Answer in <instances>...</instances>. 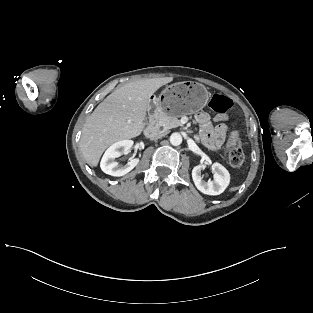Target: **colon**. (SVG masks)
Returning a JSON list of instances; mask_svg holds the SVG:
<instances>
[{
	"mask_svg": "<svg viewBox=\"0 0 313 313\" xmlns=\"http://www.w3.org/2000/svg\"><path fill=\"white\" fill-rule=\"evenodd\" d=\"M232 105V100L222 94H214L209 102L210 108L219 113H225L232 107ZM227 155L229 162L233 167L238 168L244 164L245 156L238 143V137L235 132H232L228 138Z\"/></svg>",
	"mask_w": 313,
	"mask_h": 313,
	"instance_id": "1",
	"label": "colon"
}]
</instances>
